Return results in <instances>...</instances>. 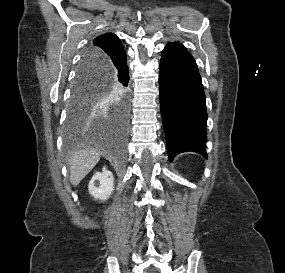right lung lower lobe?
Returning a JSON list of instances; mask_svg holds the SVG:
<instances>
[{"instance_id":"obj_1","label":"right lung lower lobe","mask_w":285,"mask_h":273,"mask_svg":"<svg viewBox=\"0 0 285 273\" xmlns=\"http://www.w3.org/2000/svg\"><path fill=\"white\" fill-rule=\"evenodd\" d=\"M125 53L126 51L120 56L111 58L97 56L96 59L91 60L88 65L98 69H108L112 81L119 87L125 89L129 82V69L127 66V55Z\"/></svg>"}]
</instances>
